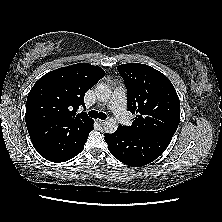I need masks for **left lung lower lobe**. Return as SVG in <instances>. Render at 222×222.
Segmentation results:
<instances>
[{"instance_id":"0a47b994","label":"left lung lower lobe","mask_w":222,"mask_h":222,"mask_svg":"<svg viewBox=\"0 0 222 222\" xmlns=\"http://www.w3.org/2000/svg\"><path fill=\"white\" fill-rule=\"evenodd\" d=\"M171 139L162 135L130 133L119 127L113 134H105L111 154L132 167H141L157 159Z\"/></svg>"}]
</instances>
